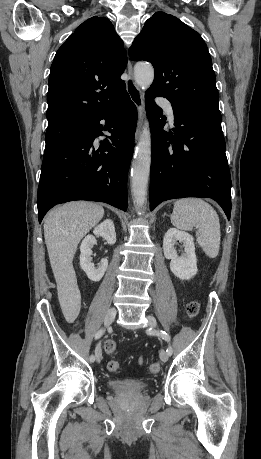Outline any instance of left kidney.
<instances>
[{
  "label": "left kidney",
  "mask_w": 261,
  "mask_h": 459,
  "mask_svg": "<svg viewBox=\"0 0 261 459\" xmlns=\"http://www.w3.org/2000/svg\"><path fill=\"white\" fill-rule=\"evenodd\" d=\"M183 243L185 250L184 254L178 256L175 244ZM164 256L170 259V270L181 280H189L197 274V258L195 254V245L193 237L183 231L175 228L167 230L163 238Z\"/></svg>",
  "instance_id": "1"
}]
</instances>
